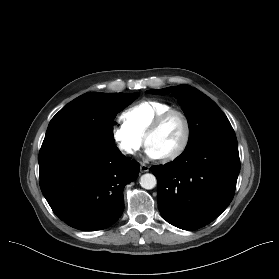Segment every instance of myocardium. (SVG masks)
<instances>
[{
    "instance_id": "f54148a6",
    "label": "myocardium",
    "mask_w": 279,
    "mask_h": 279,
    "mask_svg": "<svg viewBox=\"0 0 279 279\" xmlns=\"http://www.w3.org/2000/svg\"><path fill=\"white\" fill-rule=\"evenodd\" d=\"M172 115H178L181 118L184 125V135H183L182 142L173 152L161 157L163 161H172L174 159H177L186 151L190 143L191 132H192L191 123L186 113H184L182 110L175 109V108H171L162 112L150 124L143 137L144 143L147 146V141L149 136L152 135L154 132H156L162 126V124Z\"/></svg>"
}]
</instances>
